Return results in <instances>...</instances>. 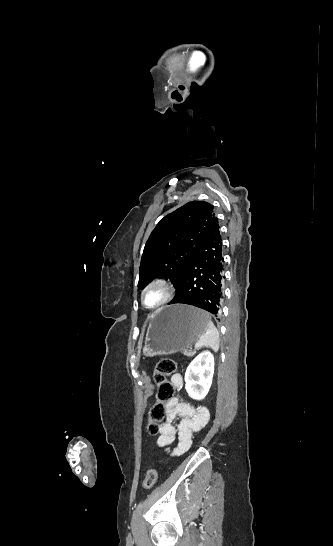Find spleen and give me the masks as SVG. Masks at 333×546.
Masks as SVG:
<instances>
[{
	"label": "spleen",
	"mask_w": 333,
	"mask_h": 546,
	"mask_svg": "<svg viewBox=\"0 0 333 546\" xmlns=\"http://www.w3.org/2000/svg\"><path fill=\"white\" fill-rule=\"evenodd\" d=\"M209 320L207 323V328L205 333L198 339L195 344V349H201L203 347L211 348L213 351L217 352L219 350V332L216 329L215 325L211 321L210 316L208 315Z\"/></svg>",
	"instance_id": "spleen-1"
}]
</instances>
